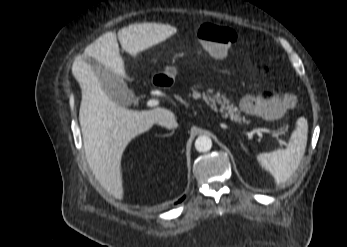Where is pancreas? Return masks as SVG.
Listing matches in <instances>:
<instances>
[{"label": "pancreas", "mask_w": 347, "mask_h": 247, "mask_svg": "<svg viewBox=\"0 0 347 247\" xmlns=\"http://www.w3.org/2000/svg\"><path fill=\"white\" fill-rule=\"evenodd\" d=\"M191 90L192 93L190 95L193 98L198 99L202 96L203 99L210 105V107L215 111H219L222 116H229L231 120H234L236 122L242 121L238 108L234 106L224 95L220 94L219 92L214 93L212 89H208L207 93L202 92L201 94L195 86L191 87ZM217 104L220 105L219 109L217 107Z\"/></svg>", "instance_id": "cf45deb5"}]
</instances>
